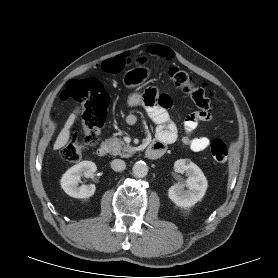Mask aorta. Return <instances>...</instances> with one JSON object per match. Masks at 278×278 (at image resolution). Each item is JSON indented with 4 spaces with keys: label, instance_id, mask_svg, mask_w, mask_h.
I'll use <instances>...</instances> for the list:
<instances>
[{
    "label": "aorta",
    "instance_id": "obj_1",
    "mask_svg": "<svg viewBox=\"0 0 278 278\" xmlns=\"http://www.w3.org/2000/svg\"><path fill=\"white\" fill-rule=\"evenodd\" d=\"M133 173L137 177H145L148 174V166L144 161H138L133 166Z\"/></svg>",
    "mask_w": 278,
    "mask_h": 278
}]
</instances>
